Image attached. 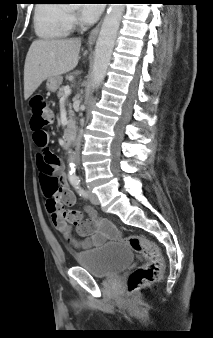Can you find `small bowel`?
I'll use <instances>...</instances> for the list:
<instances>
[{
	"label": "small bowel",
	"instance_id": "small-bowel-1",
	"mask_svg": "<svg viewBox=\"0 0 213 338\" xmlns=\"http://www.w3.org/2000/svg\"><path fill=\"white\" fill-rule=\"evenodd\" d=\"M51 159V166L55 168V173L58 174L60 181V188L62 194V202L66 206H73L76 201V196L72 191L67 188V177L64 169L60 167V160L50 152L46 153ZM42 185L46 187V178L40 175ZM77 215L76 228L81 238L85 240V243H81L77 238L70 235V226L67 215L63 212H57L53 218V223L56 228L64 235L70 245L77 251L89 249L92 244H98L106 240H115L117 233L113 224L107 219L98 218L94 211L90 208H86V212L90 215L87 220L82 219V212L73 210Z\"/></svg>",
	"mask_w": 213,
	"mask_h": 338
}]
</instances>
